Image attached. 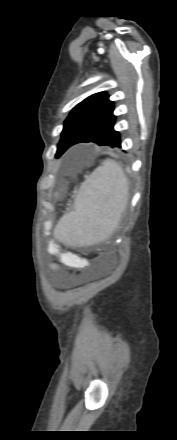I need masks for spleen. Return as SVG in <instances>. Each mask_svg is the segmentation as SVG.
<instances>
[{"label": "spleen", "mask_w": 177, "mask_h": 440, "mask_svg": "<svg viewBox=\"0 0 177 440\" xmlns=\"http://www.w3.org/2000/svg\"><path fill=\"white\" fill-rule=\"evenodd\" d=\"M128 200V181L122 167L107 159L82 184L75 210L65 214L54 236L65 245H91L116 229Z\"/></svg>", "instance_id": "spleen-1"}]
</instances>
